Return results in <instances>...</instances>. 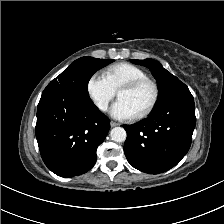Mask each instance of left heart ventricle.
Wrapping results in <instances>:
<instances>
[{
  "label": "left heart ventricle",
  "mask_w": 224,
  "mask_h": 224,
  "mask_svg": "<svg viewBox=\"0 0 224 224\" xmlns=\"http://www.w3.org/2000/svg\"><path fill=\"white\" fill-rule=\"evenodd\" d=\"M117 96L119 100L126 101L138 114L149 103L152 96V91L149 86L144 85L133 91L122 90L118 92Z\"/></svg>",
  "instance_id": "1"
}]
</instances>
